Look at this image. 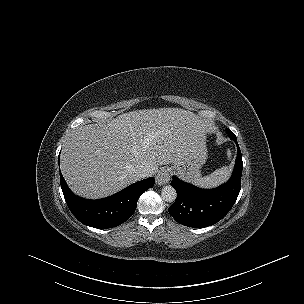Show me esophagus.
Segmentation results:
<instances>
[{"label":"esophagus","mask_w":304,"mask_h":304,"mask_svg":"<svg viewBox=\"0 0 304 304\" xmlns=\"http://www.w3.org/2000/svg\"><path fill=\"white\" fill-rule=\"evenodd\" d=\"M170 171L167 168H163L161 170L158 171L157 175H156V184L157 185H165L169 182L170 180Z\"/></svg>","instance_id":"esophagus-1"}]
</instances>
